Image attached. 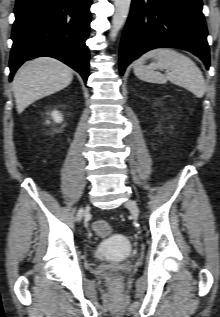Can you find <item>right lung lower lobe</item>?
<instances>
[{
    "label": "right lung lower lobe",
    "instance_id": "right-lung-lower-lobe-1",
    "mask_svg": "<svg viewBox=\"0 0 220 317\" xmlns=\"http://www.w3.org/2000/svg\"><path fill=\"white\" fill-rule=\"evenodd\" d=\"M92 0H17L13 24L10 81L26 60L56 58L88 78Z\"/></svg>",
    "mask_w": 220,
    "mask_h": 317
}]
</instances>
